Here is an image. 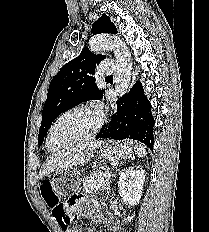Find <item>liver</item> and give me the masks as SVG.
Here are the masks:
<instances>
[{
	"instance_id": "liver-1",
	"label": "liver",
	"mask_w": 209,
	"mask_h": 232,
	"mask_svg": "<svg viewBox=\"0 0 209 232\" xmlns=\"http://www.w3.org/2000/svg\"><path fill=\"white\" fill-rule=\"evenodd\" d=\"M100 144L99 141L80 143L74 146H69L61 152L54 154L44 165L40 178L49 175L54 171L73 168L74 166L90 161Z\"/></svg>"
}]
</instances>
